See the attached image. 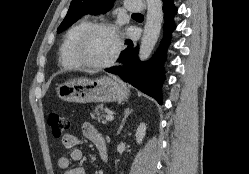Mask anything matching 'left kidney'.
Here are the masks:
<instances>
[{"label":"left kidney","mask_w":249,"mask_h":174,"mask_svg":"<svg viewBox=\"0 0 249 174\" xmlns=\"http://www.w3.org/2000/svg\"><path fill=\"white\" fill-rule=\"evenodd\" d=\"M146 124L145 123H141L138 128H137V131H136V141L138 144H141L142 141H143V138L145 137L146 135Z\"/></svg>","instance_id":"obj_1"}]
</instances>
